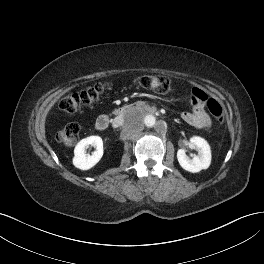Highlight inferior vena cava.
Wrapping results in <instances>:
<instances>
[{
  "instance_id": "obj_1",
  "label": "inferior vena cava",
  "mask_w": 264,
  "mask_h": 264,
  "mask_svg": "<svg viewBox=\"0 0 264 264\" xmlns=\"http://www.w3.org/2000/svg\"><path fill=\"white\" fill-rule=\"evenodd\" d=\"M123 124V119L122 118H116L113 121V126L114 127H120Z\"/></svg>"
}]
</instances>
